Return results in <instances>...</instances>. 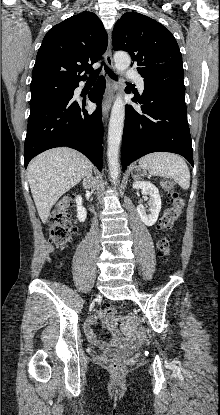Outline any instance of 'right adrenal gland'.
<instances>
[{
  "label": "right adrenal gland",
  "instance_id": "2a0ac1e0",
  "mask_svg": "<svg viewBox=\"0 0 220 415\" xmlns=\"http://www.w3.org/2000/svg\"><path fill=\"white\" fill-rule=\"evenodd\" d=\"M89 176L91 179H94V177L92 176V171L90 172Z\"/></svg>",
  "mask_w": 220,
  "mask_h": 415
}]
</instances>
